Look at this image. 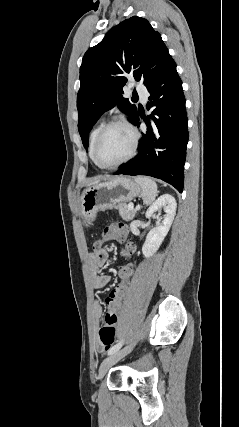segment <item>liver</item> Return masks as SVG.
Returning a JSON list of instances; mask_svg holds the SVG:
<instances>
[{
  "mask_svg": "<svg viewBox=\"0 0 239 427\" xmlns=\"http://www.w3.org/2000/svg\"><path fill=\"white\" fill-rule=\"evenodd\" d=\"M98 183H99V181L97 180V181H94V182L90 183L89 186H93V185H96Z\"/></svg>",
  "mask_w": 239,
  "mask_h": 427,
  "instance_id": "1",
  "label": "liver"
}]
</instances>
